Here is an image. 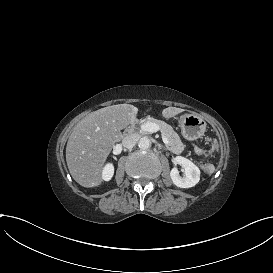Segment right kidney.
<instances>
[{"mask_svg": "<svg viewBox=\"0 0 273 273\" xmlns=\"http://www.w3.org/2000/svg\"><path fill=\"white\" fill-rule=\"evenodd\" d=\"M112 175H113V167L111 165H108L103 172V178L105 180H109L112 177Z\"/></svg>", "mask_w": 273, "mask_h": 273, "instance_id": "ca27d5eb", "label": "right kidney"}]
</instances>
